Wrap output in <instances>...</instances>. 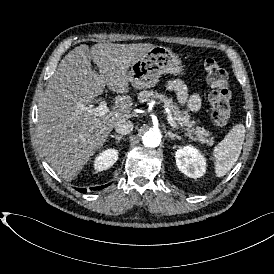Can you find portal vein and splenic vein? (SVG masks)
I'll return each mask as SVG.
<instances>
[{"label": "portal vein and splenic vein", "instance_id": "18ae733b", "mask_svg": "<svg viewBox=\"0 0 274 274\" xmlns=\"http://www.w3.org/2000/svg\"><path fill=\"white\" fill-rule=\"evenodd\" d=\"M81 109L84 111H87L88 113H92L96 117L104 116L111 112L109 107L107 106V103L104 100L101 101L97 107L82 105ZM166 112H167V120L170 123V125L173 128H177L178 126L176 122L174 121V118L172 117V114L168 108H166Z\"/></svg>", "mask_w": 274, "mask_h": 274}]
</instances>
